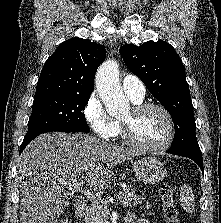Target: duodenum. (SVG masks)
Returning a JSON list of instances; mask_svg holds the SVG:
<instances>
[{
    "instance_id": "obj_1",
    "label": "duodenum",
    "mask_w": 221,
    "mask_h": 223,
    "mask_svg": "<svg viewBox=\"0 0 221 223\" xmlns=\"http://www.w3.org/2000/svg\"><path fill=\"white\" fill-rule=\"evenodd\" d=\"M89 211V205L83 200H78L76 203V216L79 220H83Z\"/></svg>"
}]
</instances>
